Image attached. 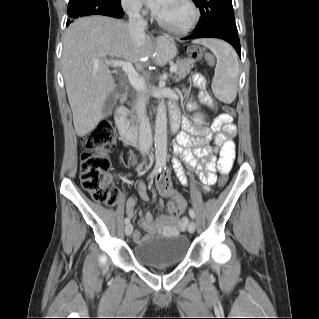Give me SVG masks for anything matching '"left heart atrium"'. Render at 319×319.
<instances>
[{
    "label": "left heart atrium",
    "instance_id": "left-heart-atrium-1",
    "mask_svg": "<svg viewBox=\"0 0 319 319\" xmlns=\"http://www.w3.org/2000/svg\"><path fill=\"white\" fill-rule=\"evenodd\" d=\"M144 3L156 14L161 13L168 0H143Z\"/></svg>",
    "mask_w": 319,
    "mask_h": 319
}]
</instances>
